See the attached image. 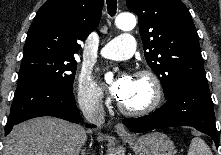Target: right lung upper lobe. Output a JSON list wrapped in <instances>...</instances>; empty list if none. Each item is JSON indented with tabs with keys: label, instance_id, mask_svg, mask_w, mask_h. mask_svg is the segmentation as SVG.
Here are the masks:
<instances>
[{
	"label": "right lung upper lobe",
	"instance_id": "1",
	"mask_svg": "<svg viewBox=\"0 0 221 155\" xmlns=\"http://www.w3.org/2000/svg\"><path fill=\"white\" fill-rule=\"evenodd\" d=\"M102 8L103 0H47L28 30L24 56L48 53L74 58L78 42L98 26Z\"/></svg>",
	"mask_w": 221,
	"mask_h": 155
}]
</instances>
